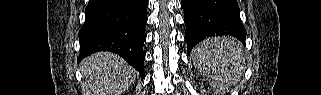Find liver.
<instances>
[{"label": "liver", "mask_w": 321, "mask_h": 95, "mask_svg": "<svg viewBox=\"0 0 321 95\" xmlns=\"http://www.w3.org/2000/svg\"><path fill=\"white\" fill-rule=\"evenodd\" d=\"M82 63L87 85L96 95H121L136 79V71L113 53H96Z\"/></svg>", "instance_id": "obj_1"}]
</instances>
